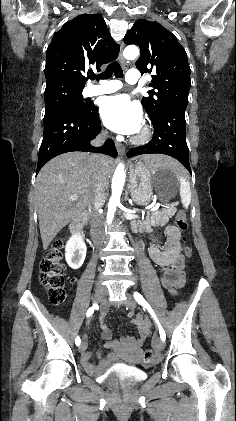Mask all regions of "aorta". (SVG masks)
Segmentation results:
<instances>
[{
	"mask_svg": "<svg viewBox=\"0 0 236 421\" xmlns=\"http://www.w3.org/2000/svg\"><path fill=\"white\" fill-rule=\"evenodd\" d=\"M123 54L125 58H129V60H133V58H136V56H138L139 48H137L135 44H129V46H126V48H124ZM124 182H125L124 164L120 162L112 178V194L108 202V213L106 217L107 225H111L114 219V215L116 213V208L118 204H120V196L122 194Z\"/></svg>",
	"mask_w": 236,
	"mask_h": 421,
	"instance_id": "762f6f07",
	"label": "aorta"
}]
</instances>
